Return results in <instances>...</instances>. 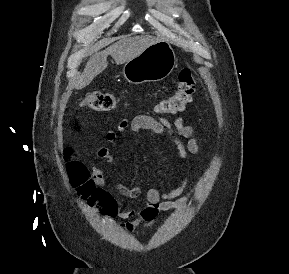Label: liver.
Listing matches in <instances>:
<instances>
[{
    "mask_svg": "<svg viewBox=\"0 0 289 274\" xmlns=\"http://www.w3.org/2000/svg\"><path fill=\"white\" fill-rule=\"evenodd\" d=\"M158 41V38L150 35L122 37L105 50L93 52L83 73L76 78L75 88L82 89L86 87L97 75L104 71L108 66V55L112 56L116 64H124Z\"/></svg>",
    "mask_w": 289,
    "mask_h": 274,
    "instance_id": "6515ba94",
    "label": "liver"
}]
</instances>
